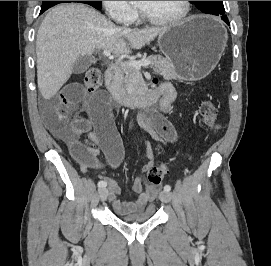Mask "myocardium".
Returning <instances> with one entry per match:
<instances>
[{"instance_id":"f54148a6","label":"myocardium","mask_w":271,"mask_h":266,"mask_svg":"<svg viewBox=\"0 0 271 266\" xmlns=\"http://www.w3.org/2000/svg\"><path fill=\"white\" fill-rule=\"evenodd\" d=\"M182 3H183V10L181 11L179 15L172 18H165V19L155 18L151 16L149 13H147L141 7H140V12H141L142 18L151 24L160 25V26L176 25L183 22L185 19H187V17L190 14L191 2L182 1Z\"/></svg>"}]
</instances>
